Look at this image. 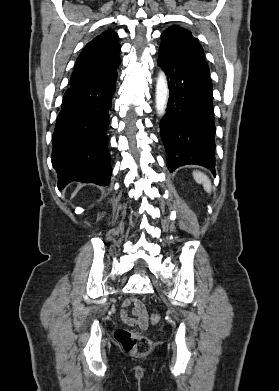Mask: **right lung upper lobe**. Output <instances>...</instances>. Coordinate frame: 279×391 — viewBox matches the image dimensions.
I'll return each instance as SVG.
<instances>
[{"label":"right lung upper lobe","instance_id":"1","mask_svg":"<svg viewBox=\"0 0 279 391\" xmlns=\"http://www.w3.org/2000/svg\"><path fill=\"white\" fill-rule=\"evenodd\" d=\"M118 35L107 30L90 41L78 56L70 87L100 81L116 72L121 63Z\"/></svg>","mask_w":279,"mask_h":391}]
</instances>
